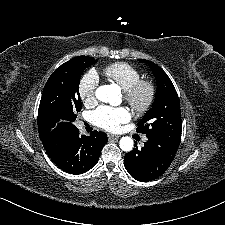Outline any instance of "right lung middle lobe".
I'll list each match as a JSON object with an SVG mask.
<instances>
[{"mask_svg": "<svg viewBox=\"0 0 225 225\" xmlns=\"http://www.w3.org/2000/svg\"><path fill=\"white\" fill-rule=\"evenodd\" d=\"M94 57L79 56L62 64L49 77L38 109V132L42 139H62L77 130L73 124L82 108L79 83L84 70L94 64Z\"/></svg>", "mask_w": 225, "mask_h": 225, "instance_id": "obj_1", "label": "right lung middle lobe"}]
</instances>
